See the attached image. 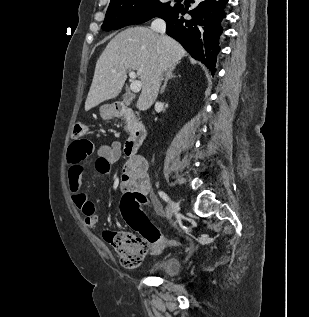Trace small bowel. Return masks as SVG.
<instances>
[{
  "label": "small bowel",
  "mask_w": 309,
  "mask_h": 317,
  "mask_svg": "<svg viewBox=\"0 0 309 317\" xmlns=\"http://www.w3.org/2000/svg\"><path fill=\"white\" fill-rule=\"evenodd\" d=\"M90 141L82 142L76 149L80 158L75 161H68L67 171L68 187L72 196L73 203L81 210L84 215L85 224L89 228H96L99 222L98 209L94 202L88 199L82 190V178L84 171V160L92 153L88 152ZM122 156L120 142L114 141L111 144L100 145L97 149V158L94 163L95 170L102 175L110 173V167ZM149 165L147 160L139 155L130 156L122 167L119 178V188L122 192L140 193L147 195L150 192V179L148 174ZM157 210H160L158 202L153 199ZM162 247L153 248L154 252H159Z\"/></svg>",
  "instance_id": "1"
}]
</instances>
